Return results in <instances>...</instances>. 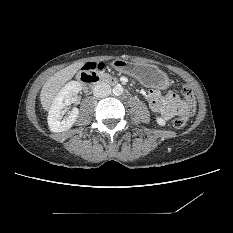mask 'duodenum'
I'll return each mask as SVG.
<instances>
[{"mask_svg": "<svg viewBox=\"0 0 233 233\" xmlns=\"http://www.w3.org/2000/svg\"><path fill=\"white\" fill-rule=\"evenodd\" d=\"M79 81L85 86L87 90H90L101 81V78L95 73L82 72L79 76ZM108 82L113 85L121 83L116 78H110L108 79Z\"/></svg>", "mask_w": 233, "mask_h": 233, "instance_id": "obj_1", "label": "duodenum"}]
</instances>
